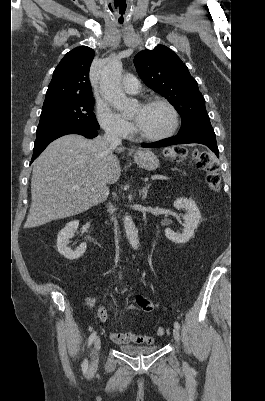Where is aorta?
Returning <instances> with one entry per match:
<instances>
[{
	"label": "aorta",
	"instance_id": "762f6f07",
	"mask_svg": "<svg viewBox=\"0 0 265 401\" xmlns=\"http://www.w3.org/2000/svg\"><path fill=\"white\" fill-rule=\"evenodd\" d=\"M122 68L121 60L109 62L101 72L100 88L102 90V96L107 98L112 106H115L118 110H127L130 106V98H127L125 92L122 90ZM123 225L131 247H133V249H138V233L133 223V219L128 215V213L123 217Z\"/></svg>",
	"mask_w": 265,
	"mask_h": 401
}]
</instances>
